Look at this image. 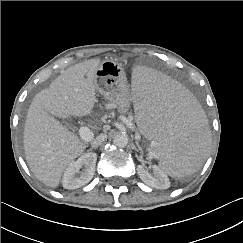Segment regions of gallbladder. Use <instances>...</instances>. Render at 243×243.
<instances>
[{
  "mask_svg": "<svg viewBox=\"0 0 243 243\" xmlns=\"http://www.w3.org/2000/svg\"><path fill=\"white\" fill-rule=\"evenodd\" d=\"M64 125H65L67 128H69V129L72 128V125H71L70 123H68V122H64Z\"/></svg>",
  "mask_w": 243,
  "mask_h": 243,
  "instance_id": "1",
  "label": "gallbladder"
}]
</instances>
